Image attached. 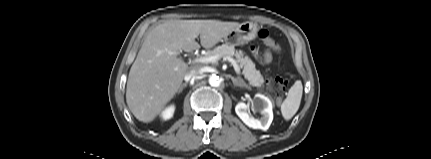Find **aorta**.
<instances>
[{
    "label": "aorta",
    "instance_id": "aorta-1",
    "mask_svg": "<svg viewBox=\"0 0 431 159\" xmlns=\"http://www.w3.org/2000/svg\"><path fill=\"white\" fill-rule=\"evenodd\" d=\"M220 83H221V81H220V79H219L218 76L212 75V76L209 77V84L212 87H218L220 85Z\"/></svg>",
    "mask_w": 431,
    "mask_h": 159
}]
</instances>
